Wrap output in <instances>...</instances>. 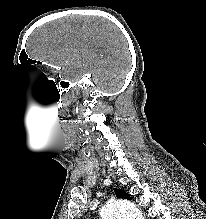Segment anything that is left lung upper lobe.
Returning a JSON list of instances; mask_svg holds the SVG:
<instances>
[{"label":"left lung upper lobe","instance_id":"1","mask_svg":"<svg viewBox=\"0 0 206 219\" xmlns=\"http://www.w3.org/2000/svg\"><path fill=\"white\" fill-rule=\"evenodd\" d=\"M114 192L117 197L119 198H125V199H131L130 195L126 193L124 190L114 189Z\"/></svg>","mask_w":206,"mask_h":219}]
</instances>
